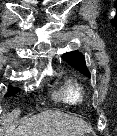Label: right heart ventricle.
<instances>
[{"label":"right heart ventricle","mask_w":117,"mask_h":136,"mask_svg":"<svg viewBox=\"0 0 117 136\" xmlns=\"http://www.w3.org/2000/svg\"><path fill=\"white\" fill-rule=\"evenodd\" d=\"M60 96L64 101L70 104H77L83 100L84 93L79 83L69 81L61 88Z\"/></svg>","instance_id":"right-heart-ventricle-1"}]
</instances>
